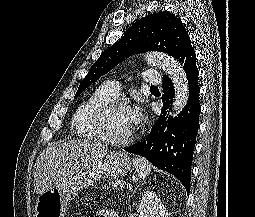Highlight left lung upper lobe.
I'll return each instance as SVG.
<instances>
[{
  "label": "left lung upper lobe",
  "mask_w": 255,
  "mask_h": 217,
  "mask_svg": "<svg viewBox=\"0 0 255 217\" xmlns=\"http://www.w3.org/2000/svg\"><path fill=\"white\" fill-rule=\"evenodd\" d=\"M190 45L188 31L179 18L167 11L150 14L137 20L119 41L100 55L81 81L74 98L132 54L160 51L176 59Z\"/></svg>",
  "instance_id": "obj_1"
}]
</instances>
